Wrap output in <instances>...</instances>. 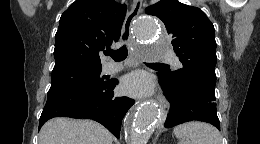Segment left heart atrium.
Returning <instances> with one entry per match:
<instances>
[{"label": "left heart atrium", "mask_w": 260, "mask_h": 144, "mask_svg": "<svg viewBox=\"0 0 260 144\" xmlns=\"http://www.w3.org/2000/svg\"><path fill=\"white\" fill-rule=\"evenodd\" d=\"M121 90L127 95L142 97L147 96L152 92L153 84L146 73L133 72L123 78Z\"/></svg>", "instance_id": "39dd6f15"}]
</instances>
